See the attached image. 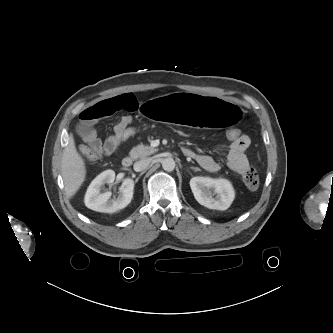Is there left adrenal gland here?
I'll return each instance as SVG.
<instances>
[{
	"label": "left adrenal gland",
	"instance_id": "a2214340",
	"mask_svg": "<svg viewBox=\"0 0 333 333\" xmlns=\"http://www.w3.org/2000/svg\"><path fill=\"white\" fill-rule=\"evenodd\" d=\"M191 169H196V168H194V167H190Z\"/></svg>",
	"mask_w": 333,
	"mask_h": 333
}]
</instances>
